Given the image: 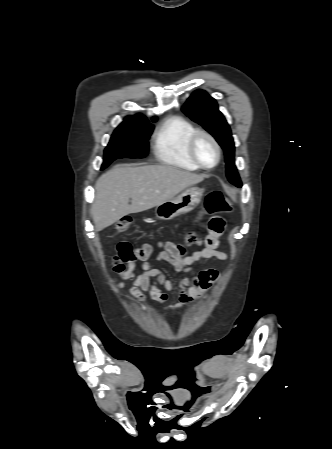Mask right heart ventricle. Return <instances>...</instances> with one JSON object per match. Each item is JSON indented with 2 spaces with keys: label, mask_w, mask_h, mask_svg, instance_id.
I'll use <instances>...</instances> for the list:
<instances>
[{
  "label": "right heart ventricle",
  "mask_w": 332,
  "mask_h": 449,
  "mask_svg": "<svg viewBox=\"0 0 332 449\" xmlns=\"http://www.w3.org/2000/svg\"><path fill=\"white\" fill-rule=\"evenodd\" d=\"M197 128L182 116L168 117L156 133L153 151L157 159L167 165L185 170H198L192 161L187 144Z\"/></svg>",
  "instance_id": "right-heart-ventricle-1"
}]
</instances>
